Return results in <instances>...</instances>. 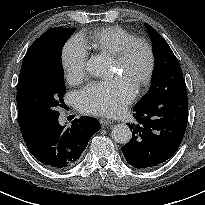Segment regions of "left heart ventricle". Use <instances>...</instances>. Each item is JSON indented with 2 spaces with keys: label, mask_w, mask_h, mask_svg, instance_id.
<instances>
[{
  "label": "left heart ventricle",
  "mask_w": 205,
  "mask_h": 205,
  "mask_svg": "<svg viewBox=\"0 0 205 205\" xmlns=\"http://www.w3.org/2000/svg\"><path fill=\"white\" fill-rule=\"evenodd\" d=\"M116 73L130 78L133 82L142 75L147 64V55L142 47H136L125 67H121L115 61Z\"/></svg>",
  "instance_id": "b2bd125f"
}]
</instances>
